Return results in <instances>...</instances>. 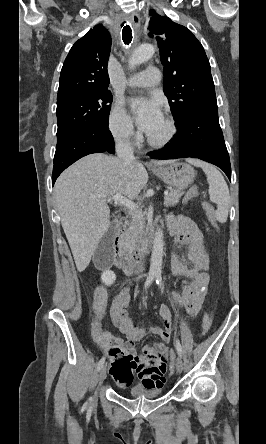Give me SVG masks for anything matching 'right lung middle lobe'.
Here are the masks:
<instances>
[{
  "label": "right lung middle lobe",
  "mask_w": 266,
  "mask_h": 444,
  "mask_svg": "<svg viewBox=\"0 0 266 444\" xmlns=\"http://www.w3.org/2000/svg\"><path fill=\"white\" fill-rule=\"evenodd\" d=\"M111 102L112 94L107 89L57 99V147L82 132L108 128Z\"/></svg>",
  "instance_id": "right-lung-middle-lobe-1"
}]
</instances>
